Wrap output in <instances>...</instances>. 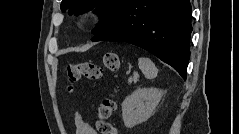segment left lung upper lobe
Masks as SVG:
<instances>
[{
    "mask_svg": "<svg viewBox=\"0 0 239 134\" xmlns=\"http://www.w3.org/2000/svg\"><path fill=\"white\" fill-rule=\"evenodd\" d=\"M127 0H62L61 10L69 9V15L80 14L95 9L100 17V26L92 31L98 34L111 26Z\"/></svg>",
    "mask_w": 239,
    "mask_h": 134,
    "instance_id": "1",
    "label": "left lung upper lobe"
}]
</instances>
